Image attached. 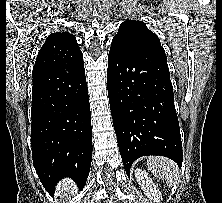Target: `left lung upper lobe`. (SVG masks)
I'll use <instances>...</instances> for the list:
<instances>
[{
    "mask_svg": "<svg viewBox=\"0 0 222 203\" xmlns=\"http://www.w3.org/2000/svg\"><path fill=\"white\" fill-rule=\"evenodd\" d=\"M112 42L122 43L128 47H145L165 55L160 40L141 21L126 20L118 30Z\"/></svg>",
    "mask_w": 222,
    "mask_h": 203,
    "instance_id": "1",
    "label": "left lung upper lobe"
}]
</instances>
